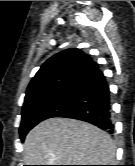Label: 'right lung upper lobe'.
Wrapping results in <instances>:
<instances>
[{
  "mask_svg": "<svg viewBox=\"0 0 135 166\" xmlns=\"http://www.w3.org/2000/svg\"><path fill=\"white\" fill-rule=\"evenodd\" d=\"M98 69V65L80 49L71 48L49 58L31 80L24 103L55 89L68 86Z\"/></svg>",
  "mask_w": 135,
  "mask_h": 166,
  "instance_id": "1",
  "label": "right lung upper lobe"
}]
</instances>
